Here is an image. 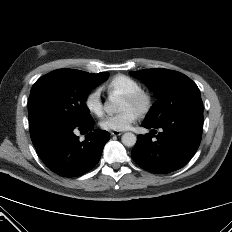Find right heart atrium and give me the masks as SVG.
<instances>
[{
  "instance_id": "d8ad5b80",
  "label": "right heart atrium",
  "mask_w": 232,
  "mask_h": 232,
  "mask_svg": "<svg viewBox=\"0 0 232 232\" xmlns=\"http://www.w3.org/2000/svg\"><path fill=\"white\" fill-rule=\"evenodd\" d=\"M84 104L88 112L97 117L102 116L104 109L99 90L90 91L84 99Z\"/></svg>"
}]
</instances>
